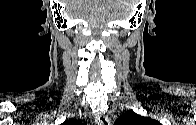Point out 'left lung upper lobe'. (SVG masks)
Here are the masks:
<instances>
[{
    "mask_svg": "<svg viewBox=\"0 0 196 125\" xmlns=\"http://www.w3.org/2000/svg\"><path fill=\"white\" fill-rule=\"evenodd\" d=\"M120 125H159V122L149 117H143L134 112H129L118 119Z\"/></svg>",
    "mask_w": 196,
    "mask_h": 125,
    "instance_id": "obj_1",
    "label": "left lung upper lobe"
}]
</instances>
